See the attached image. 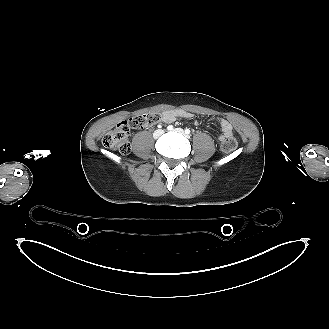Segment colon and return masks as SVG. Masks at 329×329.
Segmentation results:
<instances>
[{
    "instance_id": "colon-1",
    "label": "colon",
    "mask_w": 329,
    "mask_h": 329,
    "mask_svg": "<svg viewBox=\"0 0 329 329\" xmlns=\"http://www.w3.org/2000/svg\"><path fill=\"white\" fill-rule=\"evenodd\" d=\"M162 121L159 113H144L118 123L114 128L107 131L103 137V144L113 150L127 155L130 152L129 133L131 129L139 130L158 124ZM238 141L234 136L225 138L221 149L230 153L236 149Z\"/></svg>"
}]
</instances>
